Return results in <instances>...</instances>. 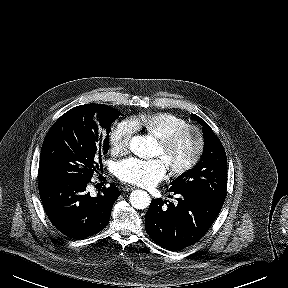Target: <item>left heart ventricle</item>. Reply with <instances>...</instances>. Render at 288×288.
<instances>
[{"mask_svg": "<svg viewBox=\"0 0 288 288\" xmlns=\"http://www.w3.org/2000/svg\"><path fill=\"white\" fill-rule=\"evenodd\" d=\"M195 146V136L193 134H186L177 141L168 156L164 155V149L159 144L158 155L162 156L167 165L169 162L175 164L183 163L192 156Z\"/></svg>", "mask_w": 288, "mask_h": 288, "instance_id": "b2bd125f", "label": "left heart ventricle"}]
</instances>
